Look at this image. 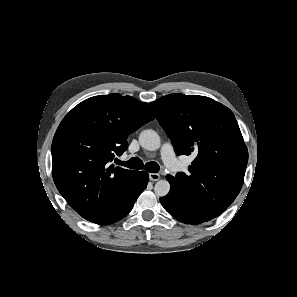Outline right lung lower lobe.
I'll return each instance as SVG.
<instances>
[{
  "label": "right lung lower lobe",
  "mask_w": 297,
  "mask_h": 297,
  "mask_svg": "<svg viewBox=\"0 0 297 297\" xmlns=\"http://www.w3.org/2000/svg\"><path fill=\"white\" fill-rule=\"evenodd\" d=\"M148 180V173L135 171L121 191L96 218L91 220V222L100 225L112 224L126 216L133 208L138 196L147 187Z\"/></svg>",
  "instance_id": "obj_1"
}]
</instances>
